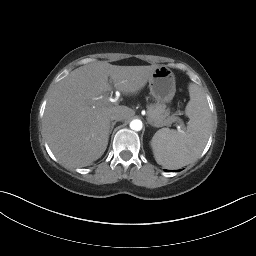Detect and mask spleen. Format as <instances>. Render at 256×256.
Returning <instances> with one entry per match:
<instances>
[{
    "label": "spleen",
    "mask_w": 256,
    "mask_h": 256,
    "mask_svg": "<svg viewBox=\"0 0 256 256\" xmlns=\"http://www.w3.org/2000/svg\"><path fill=\"white\" fill-rule=\"evenodd\" d=\"M190 101L186 106L189 122L186 131L169 128L158 130L151 147L159 165L167 169H178L196 160L202 153L211 129V114L202 89L189 84Z\"/></svg>",
    "instance_id": "obj_1"
}]
</instances>
